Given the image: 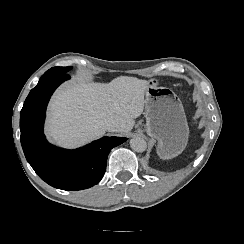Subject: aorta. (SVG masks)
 Here are the masks:
<instances>
[{
    "instance_id": "aorta-1",
    "label": "aorta",
    "mask_w": 244,
    "mask_h": 244,
    "mask_svg": "<svg viewBox=\"0 0 244 244\" xmlns=\"http://www.w3.org/2000/svg\"><path fill=\"white\" fill-rule=\"evenodd\" d=\"M130 147L135 152H144L147 148V143L142 137H133L130 140Z\"/></svg>"
}]
</instances>
